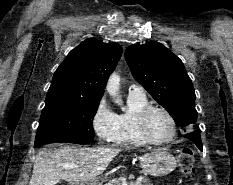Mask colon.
Here are the masks:
<instances>
[{"label":"colon","instance_id":"5ec220e1","mask_svg":"<svg viewBox=\"0 0 233 185\" xmlns=\"http://www.w3.org/2000/svg\"><path fill=\"white\" fill-rule=\"evenodd\" d=\"M179 172L186 177H190L194 172L193 152L189 148L182 149L178 158Z\"/></svg>","mask_w":233,"mask_h":185}]
</instances>
